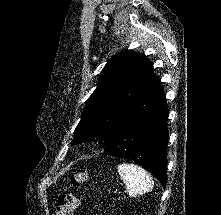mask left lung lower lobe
<instances>
[{"label": "left lung lower lobe", "instance_id": "obj_1", "mask_svg": "<svg viewBox=\"0 0 221 215\" xmlns=\"http://www.w3.org/2000/svg\"><path fill=\"white\" fill-rule=\"evenodd\" d=\"M168 112L158 77L113 130L104 155L134 160L165 187Z\"/></svg>", "mask_w": 221, "mask_h": 215}]
</instances>
